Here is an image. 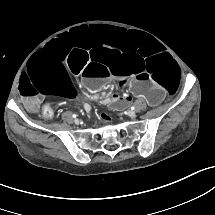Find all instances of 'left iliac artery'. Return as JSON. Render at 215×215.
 Here are the masks:
<instances>
[{
    "label": "left iliac artery",
    "instance_id": "obj_1",
    "mask_svg": "<svg viewBox=\"0 0 215 215\" xmlns=\"http://www.w3.org/2000/svg\"><path fill=\"white\" fill-rule=\"evenodd\" d=\"M134 109H135V107H134V106H132V107H131V110H134Z\"/></svg>",
    "mask_w": 215,
    "mask_h": 215
}]
</instances>
